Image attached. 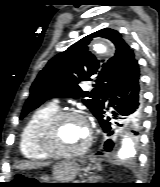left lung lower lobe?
I'll return each instance as SVG.
<instances>
[{"label": "left lung lower lobe", "mask_w": 160, "mask_h": 187, "mask_svg": "<svg viewBox=\"0 0 160 187\" xmlns=\"http://www.w3.org/2000/svg\"><path fill=\"white\" fill-rule=\"evenodd\" d=\"M109 100V107H105V101ZM143 109L142 89L140 80V69L136 59L131 63L126 75L109 89L103 98L102 105L96 115L103 131L111 136L113 123L117 125L119 121L129 120L134 125L139 124ZM109 111L110 117L105 119V114ZM112 121V122H111ZM113 142L109 139L104 144V151H111Z\"/></svg>", "instance_id": "1"}]
</instances>
